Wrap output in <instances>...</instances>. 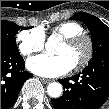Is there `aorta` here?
Returning a JSON list of instances; mask_svg holds the SVG:
<instances>
[{"mask_svg": "<svg viewBox=\"0 0 109 109\" xmlns=\"http://www.w3.org/2000/svg\"><path fill=\"white\" fill-rule=\"evenodd\" d=\"M56 43L55 38L50 37L46 43V49L50 50L54 44ZM63 91L62 85L58 82H52L47 87V92L50 97L52 98H58L61 96Z\"/></svg>", "mask_w": 109, "mask_h": 109, "instance_id": "1", "label": "aorta"}]
</instances>
